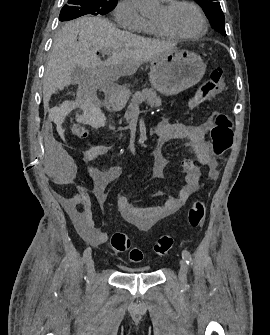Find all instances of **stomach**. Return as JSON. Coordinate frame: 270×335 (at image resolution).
I'll return each mask as SVG.
<instances>
[{"instance_id":"stomach-1","label":"stomach","mask_w":270,"mask_h":335,"mask_svg":"<svg viewBox=\"0 0 270 335\" xmlns=\"http://www.w3.org/2000/svg\"><path fill=\"white\" fill-rule=\"evenodd\" d=\"M205 72L206 64L195 52H164L152 58L149 82L160 94L176 96L198 84Z\"/></svg>"}]
</instances>
